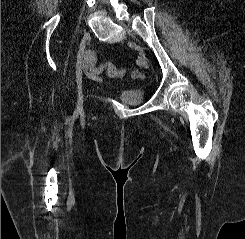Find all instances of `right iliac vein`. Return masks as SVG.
<instances>
[{
    "label": "right iliac vein",
    "mask_w": 245,
    "mask_h": 239,
    "mask_svg": "<svg viewBox=\"0 0 245 239\" xmlns=\"http://www.w3.org/2000/svg\"><path fill=\"white\" fill-rule=\"evenodd\" d=\"M90 37L88 32H85L83 35V38L81 40V62L80 65L77 69V76H76V82H77V110H82L83 108V91H82V69H83V61H82V56L84 54V50H85V44L86 41L88 40V38Z\"/></svg>",
    "instance_id": "63e3f726"
}]
</instances>
